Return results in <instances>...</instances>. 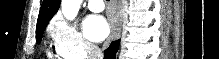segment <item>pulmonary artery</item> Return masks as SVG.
<instances>
[{"label": "pulmonary artery", "instance_id": "obj_1", "mask_svg": "<svg viewBox=\"0 0 219 59\" xmlns=\"http://www.w3.org/2000/svg\"><path fill=\"white\" fill-rule=\"evenodd\" d=\"M88 8L92 12H101L104 10V3L102 0H89L88 1Z\"/></svg>", "mask_w": 219, "mask_h": 59}]
</instances>
